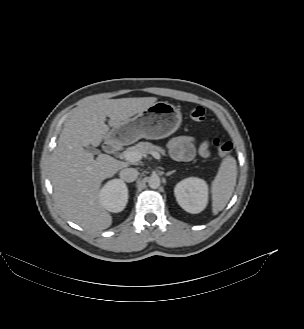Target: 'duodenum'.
Listing matches in <instances>:
<instances>
[{
  "mask_svg": "<svg viewBox=\"0 0 304 329\" xmlns=\"http://www.w3.org/2000/svg\"><path fill=\"white\" fill-rule=\"evenodd\" d=\"M104 148H105L106 153H108V154L117 153L119 151V147L113 143H106Z\"/></svg>",
  "mask_w": 304,
  "mask_h": 329,
  "instance_id": "410a0bca",
  "label": "duodenum"
}]
</instances>
